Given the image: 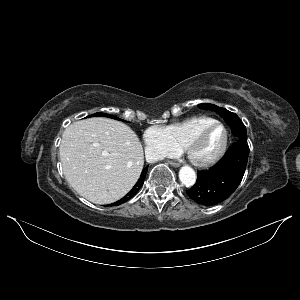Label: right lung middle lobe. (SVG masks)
I'll use <instances>...</instances> for the list:
<instances>
[{
    "label": "right lung middle lobe",
    "mask_w": 300,
    "mask_h": 300,
    "mask_svg": "<svg viewBox=\"0 0 300 300\" xmlns=\"http://www.w3.org/2000/svg\"><path fill=\"white\" fill-rule=\"evenodd\" d=\"M91 116H103V117H109V118H113V119L119 120V118H117L115 116L104 114V113H95L94 115H91Z\"/></svg>",
    "instance_id": "dd1d6c3e"
}]
</instances>
